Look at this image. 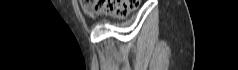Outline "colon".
<instances>
[{
    "label": "colon",
    "mask_w": 238,
    "mask_h": 70,
    "mask_svg": "<svg viewBox=\"0 0 238 70\" xmlns=\"http://www.w3.org/2000/svg\"><path fill=\"white\" fill-rule=\"evenodd\" d=\"M81 5L83 11L93 18L100 15L123 18L134 7L135 2L132 0H82Z\"/></svg>",
    "instance_id": "1"
}]
</instances>
